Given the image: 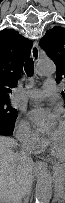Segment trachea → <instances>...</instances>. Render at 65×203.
<instances>
[{
	"label": "trachea",
	"mask_w": 65,
	"mask_h": 203,
	"mask_svg": "<svg viewBox=\"0 0 65 203\" xmlns=\"http://www.w3.org/2000/svg\"><path fill=\"white\" fill-rule=\"evenodd\" d=\"M24 69L28 76H32L34 74V62L32 59H28L25 62Z\"/></svg>",
	"instance_id": "trachea-1"
}]
</instances>
